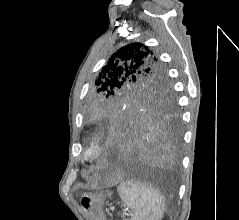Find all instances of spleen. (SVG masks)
<instances>
[{
	"label": "spleen",
	"instance_id": "1",
	"mask_svg": "<svg viewBox=\"0 0 239 220\" xmlns=\"http://www.w3.org/2000/svg\"><path fill=\"white\" fill-rule=\"evenodd\" d=\"M118 193L122 204L131 211L129 220H162L165 202L156 189L145 183L123 181Z\"/></svg>",
	"mask_w": 239,
	"mask_h": 220
}]
</instances>
